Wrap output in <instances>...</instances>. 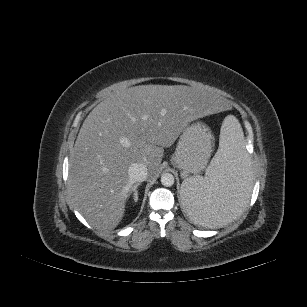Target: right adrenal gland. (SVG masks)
<instances>
[{
  "label": "right adrenal gland",
  "mask_w": 307,
  "mask_h": 307,
  "mask_svg": "<svg viewBox=\"0 0 307 307\" xmlns=\"http://www.w3.org/2000/svg\"><path fill=\"white\" fill-rule=\"evenodd\" d=\"M139 185H140V183L136 184V185H135V188H134V191H133V199H134V202H137V201H138V191H137V188H138Z\"/></svg>",
  "instance_id": "obj_1"
}]
</instances>
